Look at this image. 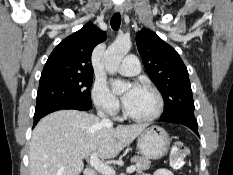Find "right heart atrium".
<instances>
[{"mask_svg": "<svg viewBox=\"0 0 233 175\" xmlns=\"http://www.w3.org/2000/svg\"><path fill=\"white\" fill-rule=\"evenodd\" d=\"M91 97L98 110L107 115H116L120 108V102L116 95L102 80H96L91 89Z\"/></svg>", "mask_w": 233, "mask_h": 175, "instance_id": "obj_1", "label": "right heart atrium"}]
</instances>
